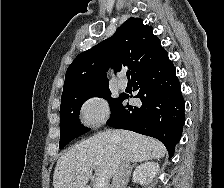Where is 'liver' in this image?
<instances>
[{
	"label": "liver",
	"instance_id": "1",
	"mask_svg": "<svg viewBox=\"0 0 224 188\" xmlns=\"http://www.w3.org/2000/svg\"><path fill=\"white\" fill-rule=\"evenodd\" d=\"M166 148L157 139L126 130L97 133L69 149L57 161L54 188H86L92 168L99 177H113L121 157L142 162L164 157ZM87 169L85 172H78Z\"/></svg>",
	"mask_w": 224,
	"mask_h": 188
}]
</instances>
